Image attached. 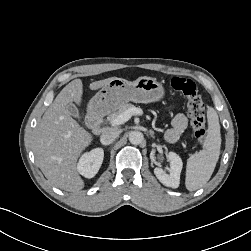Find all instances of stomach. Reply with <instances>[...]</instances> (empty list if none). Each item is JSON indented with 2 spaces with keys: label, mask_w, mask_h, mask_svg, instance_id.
Segmentation results:
<instances>
[{
  "label": "stomach",
  "mask_w": 251,
  "mask_h": 251,
  "mask_svg": "<svg viewBox=\"0 0 251 251\" xmlns=\"http://www.w3.org/2000/svg\"><path fill=\"white\" fill-rule=\"evenodd\" d=\"M164 96V87L156 78L143 76L135 81L116 78L96 93L90 100L88 109L92 113L102 114L129 101L151 103L160 101Z\"/></svg>",
  "instance_id": "0dacf381"
}]
</instances>
